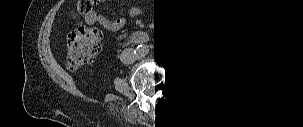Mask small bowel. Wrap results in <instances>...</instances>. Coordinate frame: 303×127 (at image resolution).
<instances>
[{"mask_svg": "<svg viewBox=\"0 0 303 127\" xmlns=\"http://www.w3.org/2000/svg\"><path fill=\"white\" fill-rule=\"evenodd\" d=\"M99 1L105 2V1H110V0H99ZM140 14H141V10L137 7H133L129 10V15L131 17H136ZM86 20L89 23H98L105 29L112 31V32H117V31L121 30L122 28L125 27V25L127 23L126 18H124V17H118V18L112 20V19H109L107 16H105L101 13H97V12H93L92 14L87 15ZM183 29L185 31H188V33L185 36V40L182 42V44L185 46V48L188 51H191V52L197 51L199 49V47L204 42L208 41L209 39H216L222 34V27L219 22L214 24L211 27L208 36L201 38V39L194 38V36H192V34L189 33V27L186 26ZM131 39L134 42L140 43V42L144 41V39L145 40L147 39V34L142 30H135L131 34Z\"/></svg>", "mask_w": 303, "mask_h": 127, "instance_id": "c3829d8e", "label": "small bowel"}]
</instances>
